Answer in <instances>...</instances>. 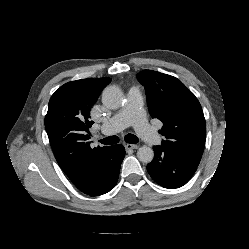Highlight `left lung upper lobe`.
Segmentation results:
<instances>
[{
  "mask_svg": "<svg viewBox=\"0 0 249 249\" xmlns=\"http://www.w3.org/2000/svg\"><path fill=\"white\" fill-rule=\"evenodd\" d=\"M145 87L152 118L163 122L161 146L199 164L206 136V123L196 96L177 78L153 70L137 74Z\"/></svg>",
  "mask_w": 249,
  "mask_h": 249,
  "instance_id": "obj_1",
  "label": "left lung upper lobe"
}]
</instances>
